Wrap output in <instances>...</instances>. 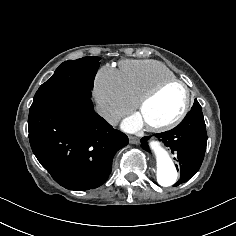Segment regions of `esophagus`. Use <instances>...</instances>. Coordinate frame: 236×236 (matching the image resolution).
<instances>
[{
  "mask_svg": "<svg viewBox=\"0 0 236 236\" xmlns=\"http://www.w3.org/2000/svg\"><path fill=\"white\" fill-rule=\"evenodd\" d=\"M129 142H130L131 144H138V143H139V139L136 138V137H134V136H130V137H129Z\"/></svg>",
  "mask_w": 236,
  "mask_h": 236,
  "instance_id": "obj_1",
  "label": "esophagus"
}]
</instances>
